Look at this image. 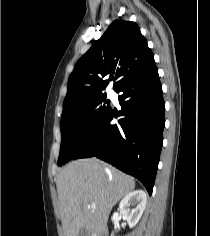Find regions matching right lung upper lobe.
Masks as SVG:
<instances>
[{"label":"right lung upper lobe","mask_w":210,"mask_h":236,"mask_svg":"<svg viewBox=\"0 0 210 236\" xmlns=\"http://www.w3.org/2000/svg\"><path fill=\"white\" fill-rule=\"evenodd\" d=\"M154 56L134 22L116 20L103 36L78 60L68 79L63 113L83 102L105 95L108 80L115 73L114 90L124 81L154 65ZM62 113V114H63Z\"/></svg>","instance_id":"obj_1"}]
</instances>
